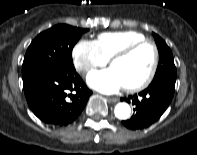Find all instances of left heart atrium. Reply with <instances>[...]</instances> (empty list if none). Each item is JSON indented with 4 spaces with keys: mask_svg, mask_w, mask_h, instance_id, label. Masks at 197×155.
<instances>
[{
    "mask_svg": "<svg viewBox=\"0 0 197 155\" xmlns=\"http://www.w3.org/2000/svg\"><path fill=\"white\" fill-rule=\"evenodd\" d=\"M88 84L104 93H113L124 86L122 79L115 69L108 68L92 72L87 78Z\"/></svg>",
    "mask_w": 197,
    "mask_h": 155,
    "instance_id": "39dd6f15",
    "label": "left heart atrium"
}]
</instances>
